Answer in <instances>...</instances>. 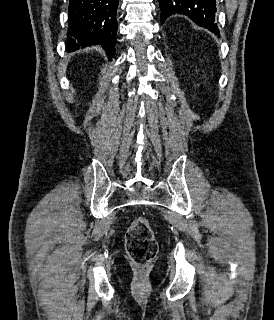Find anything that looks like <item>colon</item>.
I'll return each mask as SVG.
<instances>
[{
  "label": "colon",
  "instance_id": "5ec220e1",
  "mask_svg": "<svg viewBox=\"0 0 274 320\" xmlns=\"http://www.w3.org/2000/svg\"><path fill=\"white\" fill-rule=\"evenodd\" d=\"M125 246L130 260L140 269H147L158 250L150 223L142 218L133 220L125 235Z\"/></svg>",
  "mask_w": 274,
  "mask_h": 320
}]
</instances>
